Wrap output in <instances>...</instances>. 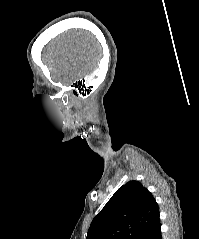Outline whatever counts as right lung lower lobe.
<instances>
[{
	"instance_id": "98d812e1",
	"label": "right lung lower lobe",
	"mask_w": 199,
	"mask_h": 239,
	"mask_svg": "<svg viewBox=\"0 0 199 239\" xmlns=\"http://www.w3.org/2000/svg\"><path fill=\"white\" fill-rule=\"evenodd\" d=\"M139 239H161L160 219H158Z\"/></svg>"
}]
</instances>
